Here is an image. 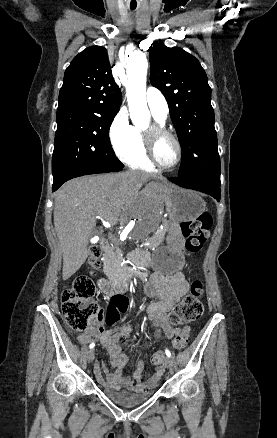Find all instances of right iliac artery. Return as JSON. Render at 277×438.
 <instances>
[{"mask_svg":"<svg viewBox=\"0 0 277 438\" xmlns=\"http://www.w3.org/2000/svg\"><path fill=\"white\" fill-rule=\"evenodd\" d=\"M95 346V344L94 343H91L90 345H89V348H93Z\"/></svg>","mask_w":277,"mask_h":438,"instance_id":"right-iliac-artery-1","label":"right iliac artery"}]
</instances>
